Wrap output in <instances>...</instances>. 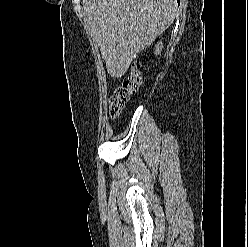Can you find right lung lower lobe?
<instances>
[{"label": "right lung lower lobe", "instance_id": "obj_1", "mask_svg": "<svg viewBox=\"0 0 248 247\" xmlns=\"http://www.w3.org/2000/svg\"><path fill=\"white\" fill-rule=\"evenodd\" d=\"M178 4L180 3V0H177Z\"/></svg>", "mask_w": 248, "mask_h": 247}]
</instances>
